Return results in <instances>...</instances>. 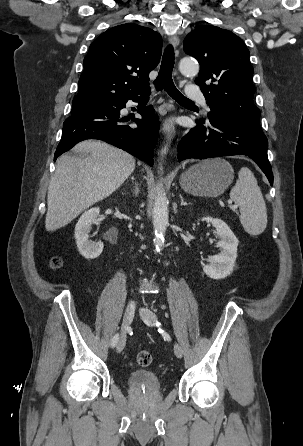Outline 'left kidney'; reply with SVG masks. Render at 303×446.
<instances>
[{
	"instance_id": "left-kidney-1",
	"label": "left kidney",
	"mask_w": 303,
	"mask_h": 446,
	"mask_svg": "<svg viewBox=\"0 0 303 446\" xmlns=\"http://www.w3.org/2000/svg\"><path fill=\"white\" fill-rule=\"evenodd\" d=\"M202 221L210 222L216 228V237L220 239L216 244L220 248V253L209 256V264L203 265V271L212 279H224L233 271L237 257L238 239L223 220L205 217L202 218Z\"/></svg>"
}]
</instances>
